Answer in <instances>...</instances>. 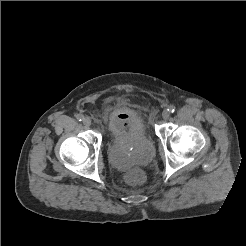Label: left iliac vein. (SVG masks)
Wrapping results in <instances>:
<instances>
[{"mask_svg": "<svg viewBox=\"0 0 246 246\" xmlns=\"http://www.w3.org/2000/svg\"><path fill=\"white\" fill-rule=\"evenodd\" d=\"M169 116H170L169 111H168L167 109H165V110L162 112V118H163L164 120H166V119L169 118Z\"/></svg>", "mask_w": 246, "mask_h": 246, "instance_id": "obj_1", "label": "left iliac vein"}]
</instances>
